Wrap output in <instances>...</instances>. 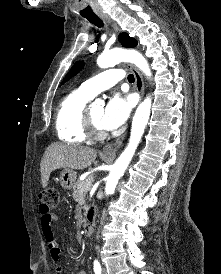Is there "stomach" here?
Here are the masks:
<instances>
[{
  "instance_id": "0dacf381",
  "label": "stomach",
  "mask_w": 221,
  "mask_h": 274,
  "mask_svg": "<svg viewBox=\"0 0 221 274\" xmlns=\"http://www.w3.org/2000/svg\"><path fill=\"white\" fill-rule=\"evenodd\" d=\"M77 177V173L72 169H64L60 174V184L64 189H71Z\"/></svg>"
}]
</instances>
